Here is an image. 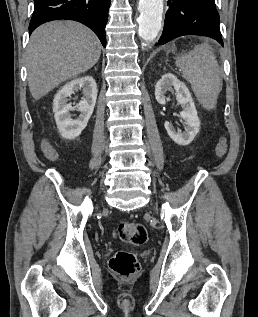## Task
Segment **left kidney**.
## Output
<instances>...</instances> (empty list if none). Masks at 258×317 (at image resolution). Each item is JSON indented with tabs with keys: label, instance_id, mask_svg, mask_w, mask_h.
<instances>
[{
	"label": "left kidney",
	"instance_id": "left-kidney-1",
	"mask_svg": "<svg viewBox=\"0 0 258 317\" xmlns=\"http://www.w3.org/2000/svg\"><path fill=\"white\" fill-rule=\"evenodd\" d=\"M172 86L175 88L177 100L183 108L180 112V116L185 120L186 126L183 132H176L174 126H172L168 120H165L164 126L174 142L186 146V144L192 142L194 136L199 132L200 120L193 98L186 84L178 80L177 76L172 74V72H165V74H162L160 80H157L155 86L156 100H158L160 104H166L165 92L169 90V88H172Z\"/></svg>",
	"mask_w": 258,
	"mask_h": 317
}]
</instances>
